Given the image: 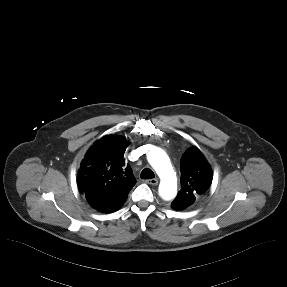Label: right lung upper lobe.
<instances>
[{"instance_id": "1", "label": "right lung upper lobe", "mask_w": 287, "mask_h": 287, "mask_svg": "<svg viewBox=\"0 0 287 287\" xmlns=\"http://www.w3.org/2000/svg\"><path fill=\"white\" fill-rule=\"evenodd\" d=\"M126 138L107 135L94 143L81 162L78 186L85 197L112 198L129 193L136 183L126 165Z\"/></svg>"}]
</instances>
